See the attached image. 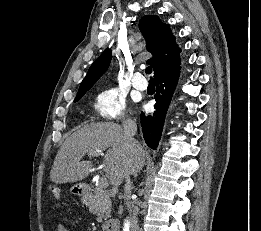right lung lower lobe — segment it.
<instances>
[{
    "mask_svg": "<svg viewBox=\"0 0 261 231\" xmlns=\"http://www.w3.org/2000/svg\"><path fill=\"white\" fill-rule=\"evenodd\" d=\"M180 74V67L172 69L155 78L157 89L154 99L156 111L153 115L141 113V126L146 144L156 149L161 137L165 115Z\"/></svg>",
    "mask_w": 261,
    "mask_h": 231,
    "instance_id": "98d812e1",
    "label": "right lung lower lobe"
}]
</instances>
